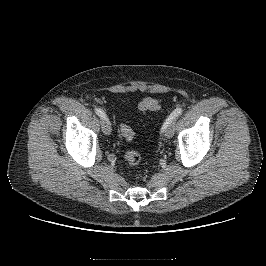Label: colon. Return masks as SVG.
<instances>
[{
  "label": "colon",
  "instance_id": "5ec220e1",
  "mask_svg": "<svg viewBox=\"0 0 266 266\" xmlns=\"http://www.w3.org/2000/svg\"><path fill=\"white\" fill-rule=\"evenodd\" d=\"M138 107L143 112H155L160 108V105L156 98L146 97L139 102ZM120 131L127 140L135 138V132L126 124L121 125ZM125 160L130 166H136L141 161V155L136 151H129L125 154Z\"/></svg>",
  "mask_w": 266,
  "mask_h": 266
}]
</instances>
